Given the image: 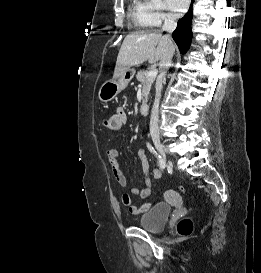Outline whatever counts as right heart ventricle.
<instances>
[{
  "label": "right heart ventricle",
  "instance_id": "right-heart-ventricle-1",
  "mask_svg": "<svg viewBox=\"0 0 261 273\" xmlns=\"http://www.w3.org/2000/svg\"><path fill=\"white\" fill-rule=\"evenodd\" d=\"M142 6L143 0H131L129 12L134 23L142 28H146L148 26L146 25Z\"/></svg>",
  "mask_w": 261,
  "mask_h": 273
}]
</instances>
